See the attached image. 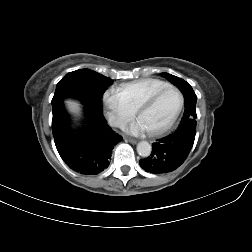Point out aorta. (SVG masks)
<instances>
[{"label":"aorta","instance_id":"aorta-1","mask_svg":"<svg viewBox=\"0 0 252 252\" xmlns=\"http://www.w3.org/2000/svg\"><path fill=\"white\" fill-rule=\"evenodd\" d=\"M152 151L151 145L147 141H141L137 145V152L142 157L150 156Z\"/></svg>","mask_w":252,"mask_h":252}]
</instances>
